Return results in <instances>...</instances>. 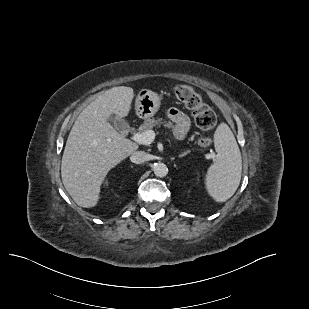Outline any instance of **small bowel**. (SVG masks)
<instances>
[{
    "label": "small bowel",
    "mask_w": 309,
    "mask_h": 309,
    "mask_svg": "<svg viewBox=\"0 0 309 309\" xmlns=\"http://www.w3.org/2000/svg\"><path fill=\"white\" fill-rule=\"evenodd\" d=\"M168 116L175 124V135L178 138H183L190 127V120L186 114L177 108H171L168 111Z\"/></svg>",
    "instance_id": "small-bowel-1"
}]
</instances>
